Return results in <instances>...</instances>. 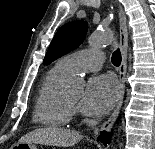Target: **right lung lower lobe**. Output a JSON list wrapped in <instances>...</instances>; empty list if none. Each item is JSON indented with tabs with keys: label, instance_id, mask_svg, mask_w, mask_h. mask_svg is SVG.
<instances>
[{
	"label": "right lung lower lobe",
	"instance_id": "right-lung-lower-lobe-1",
	"mask_svg": "<svg viewBox=\"0 0 155 149\" xmlns=\"http://www.w3.org/2000/svg\"><path fill=\"white\" fill-rule=\"evenodd\" d=\"M100 137L102 138L100 141L106 144L110 142L111 134H108L107 132H101Z\"/></svg>",
	"mask_w": 155,
	"mask_h": 149
}]
</instances>
